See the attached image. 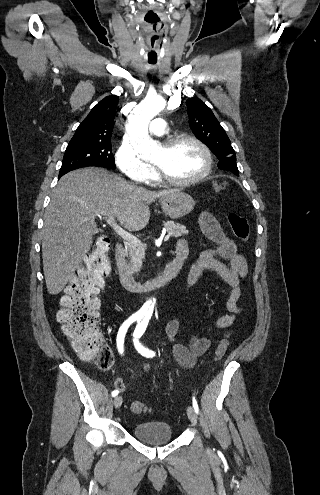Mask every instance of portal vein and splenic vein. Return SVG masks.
I'll return each instance as SVG.
<instances>
[{"label":"portal vein and splenic vein","instance_id":"portal-vein-and-splenic-vein-1","mask_svg":"<svg viewBox=\"0 0 320 495\" xmlns=\"http://www.w3.org/2000/svg\"><path fill=\"white\" fill-rule=\"evenodd\" d=\"M99 216V215H98ZM100 217V216H99ZM110 225L111 227L113 228V230L122 238L124 239L128 245H138V244H142L141 241L139 239H137L135 236H133L132 234H130L129 232L125 231L124 229H122L119 225L116 224L115 222V217L114 216H110L108 218H104ZM170 238V235H166L165 236V240L169 239Z\"/></svg>","mask_w":320,"mask_h":495}]
</instances>
